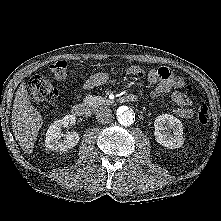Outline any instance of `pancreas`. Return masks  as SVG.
Masks as SVG:
<instances>
[{
    "label": "pancreas",
    "instance_id": "1",
    "mask_svg": "<svg viewBox=\"0 0 221 221\" xmlns=\"http://www.w3.org/2000/svg\"><path fill=\"white\" fill-rule=\"evenodd\" d=\"M86 101H88L89 103H94L97 101V99L95 97H89L88 99H86Z\"/></svg>",
    "mask_w": 221,
    "mask_h": 221
}]
</instances>
